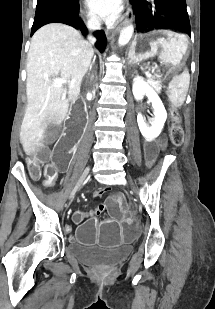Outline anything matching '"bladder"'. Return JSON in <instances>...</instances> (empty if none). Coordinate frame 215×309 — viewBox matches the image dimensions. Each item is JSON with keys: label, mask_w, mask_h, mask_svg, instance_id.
<instances>
[{"label": "bladder", "mask_w": 215, "mask_h": 309, "mask_svg": "<svg viewBox=\"0 0 215 309\" xmlns=\"http://www.w3.org/2000/svg\"><path fill=\"white\" fill-rule=\"evenodd\" d=\"M69 251L82 264L94 267H111L125 259L128 249L123 247L102 249L69 245Z\"/></svg>", "instance_id": "bladder-1"}]
</instances>
